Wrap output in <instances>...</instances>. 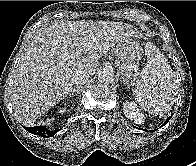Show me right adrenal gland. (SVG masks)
Listing matches in <instances>:
<instances>
[{
  "label": "right adrenal gland",
  "instance_id": "obj_1",
  "mask_svg": "<svg viewBox=\"0 0 196 166\" xmlns=\"http://www.w3.org/2000/svg\"><path fill=\"white\" fill-rule=\"evenodd\" d=\"M82 88V85L76 86L72 89V91L69 93V96L71 97L74 93L79 94L80 89Z\"/></svg>",
  "mask_w": 196,
  "mask_h": 166
}]
</instances>
